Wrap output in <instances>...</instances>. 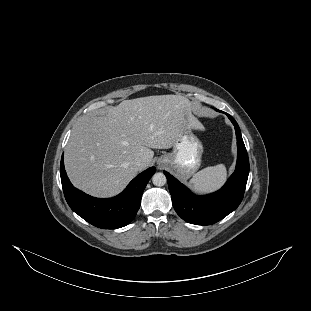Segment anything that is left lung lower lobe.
Returning <instances> with one entry per match:
<instances>
[{
  "label": "left lung lower lobe",
  "mask_w": 311,
  "mask_h": 311,
  "mask_svg": "<svg viewBox=\"0 0 311 311\" xmlns=\"http://www.w3.org/2000/svg\"><path fill=\"white\" fill-rule=\"evenodd\" d=\"M235 127L237 137V164L235 172L217 192L196 196L168 172L167 177L172 203L177 214L185 221L197 225H211L234 211L241 203L249 174L248 154L235 119L226 113Z\"/></svg>",
  "instance_id": "obj_1"
}]
</instances>
